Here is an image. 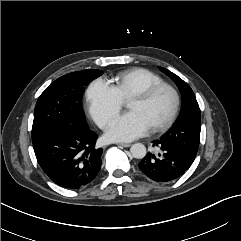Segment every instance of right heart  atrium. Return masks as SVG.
<instances>
[{
	"label": "right heart atrium",
	"mask_w": 241,
	"mask_h": 241,
	"mask_svg": "<svg viewBox=\"0 0 241 241\" xmlns=\"http://www.w3.org/2000/svg\"><path fill=\"white\" fill-rule=\"evenodd\" d=\"M91 117L100 127H105L121 110L123 100L115 87L108 81L98 78L86 92Z\"/></svg>",
	"instance_id": "d8ad5b80"
}]
</instances>
